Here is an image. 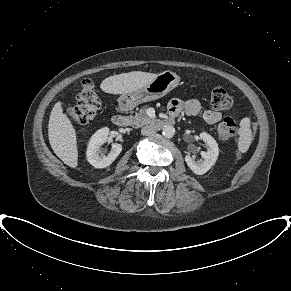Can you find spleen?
<instances>
[{"instance_id":"3e777b00","label":"spleen","mask_w":291,"mask_h":291,"mask_svg":"<svg viewBox=\"0 0 291 291\" xmlns=\"http://www.w3.org/2000/svg\"><path fill=\"white\" fill-rule=\"evenodd\" d=\"M240 137L238 141V153H244L248 150L251 143L250 120L245 118L240 123Z\"/></svg>"}]
</instances>
